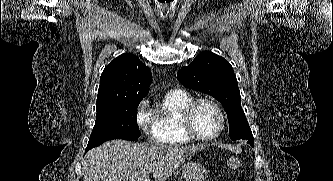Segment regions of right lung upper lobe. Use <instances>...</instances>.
Masks as SVG:
<instances>
[{"label":"right lung upper lobe","mask_w":333,"mask_h":181,"mask_svg":"<svg viewBox=\"0 0 333 181\" xmlns=\"http://www.w3.org/2000/svg\"><path fill=\"white\" fill-rule=\"evenodd\" d=\"M151 78L150 69L136 55L118 56L101 75L97 109L142 100L149 92Z\"/></svg>","instance_id":"cb5924a9"}]
</instances>
